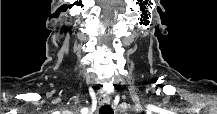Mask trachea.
I'll return each mask as SVG.
<instances>
[{"label": "trachea", "mask_w": 217, "mask_h": 114, "mask_svg": "<svg viewBox=\"0 0 217 114\" xmlns=\"http://www.w3.org/2000/svg\"><path fill=\"white\" fill-rule=\"evenodd\" d=\"M100 114H113V110L110 105H103L99 110Z\"/></svg>", "instance_id": "obj_1"}]
</instances>
